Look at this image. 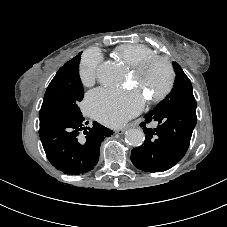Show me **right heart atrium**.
<instances>
[{
	"label": "right heart atrium",
	"instance_id": "right-heart-atrium-1",
	"mask_svg": "<svg viewBox=\"0 0 227 227\" xmlns=\"http://www.w3.org/2000/svg\"><path fill=\"white\" fill-rule=\"evenodd\" d=\"M101 62L102 55L97 50H89L83 55L79 71L80 80L83 85L91 86L94 84Z\"/></svg>",
	"mask_w": 227,
	"mask_h": 227
}]
</instances>
